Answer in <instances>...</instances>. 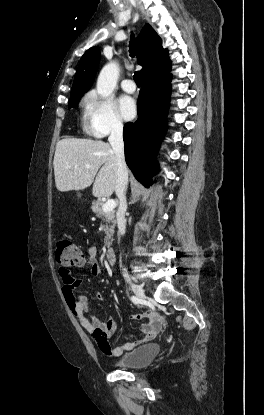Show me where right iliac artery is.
<instances>
[{"instance_id":"1","label":"right iliac artery","mask_w":264,"mask_h":415,"mask_svg":"<svg viewBox=\"0 0 264 415\" xmlns=\"http://www.w3.org/2000/svg\"><path fill=\"white\" fill-rule=\"evenodd\" d=\"M131 300H132V302H133L134 304H138V303H139V299H138L137 297H135V296H132V297H131Z\"/></svg>"}]
</instances>
